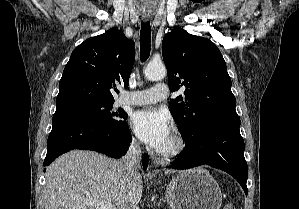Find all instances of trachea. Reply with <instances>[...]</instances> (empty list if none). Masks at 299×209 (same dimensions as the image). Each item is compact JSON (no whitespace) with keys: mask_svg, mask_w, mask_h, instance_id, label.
Segmentation results:
<instances>
[{"mask_svg":"<svg viewBox=\"0 0 299 209\" xmlns=\"http://www.w3.org/2000/svg\"><path fill=\"white\" fill-rule=\"evenodd\" d=\"M151 26L149 22H142L140 31V52L141 60L145 61L150 55L151 50Z\"/></svg>","mask_w":299,"mask_h":209,"instance_id":"1","label":"trachea"}]
</instances>
